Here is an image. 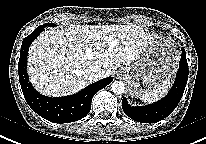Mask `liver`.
Instances as JSON below:
<instances>
[{"label": "liver", "mask_w": 206, "mask_h": 144, "mask_svg": "<svg viewBox=\"0 0 206 144\" xmlns=\"http://www.w3.org/2000/svg\"><path fill=\"white\" fill-rule=\"evenodd\" d=\"M150 41L136 25H77L45 30L31 45L28 74L40 93L60 97L80 91L93 82L86 70L102 69V78L118 67L129 66Z\"/></svg>", "instance_id": "liver-1"}]
</instances>
